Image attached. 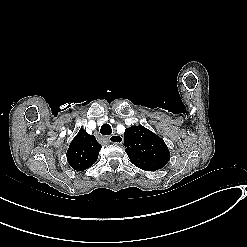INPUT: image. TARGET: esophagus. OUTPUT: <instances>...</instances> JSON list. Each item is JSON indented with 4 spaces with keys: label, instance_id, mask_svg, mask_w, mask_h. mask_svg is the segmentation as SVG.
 I'll return each mask as SVG.
<instances>
[{
    "label": "esophagus",
    "instance_id": "esophagus-1",
    "mask_svg": "<svg viewBox=\"0 0 247 247\" xmlns=\"http://www.w3.org/2000/svg\"><path fill=\"white\" fill-rule=\"evenodd\" d=\"M109 141L111 143L121 144L123 142V137L120 135H117V134L111 135V136H109Z\"/></svg>",
    "mask_w": 247,
    "mask_h": 247
}]
</instances>
